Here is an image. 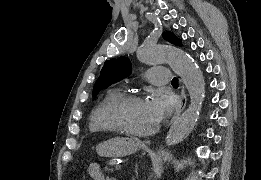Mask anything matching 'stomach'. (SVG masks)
Listing matches in <instances>:
<instances>
[{
	"label": "stomach",
	"mask_w": 261,
	"mask_h": 180,
	"mask_svg": "<svg viewBox=\"0 0 261 180\" xmlns=\"http://www.w3.org/2000/svg\"><path fill=\"white\" fill-rule=\"evenodd\" d=\"M138 143L135 139L115 137L96 146V152L101 157H123L138 151Z\"/></svg>",
	"instance_id": "obj_1"
}]
</instances>
